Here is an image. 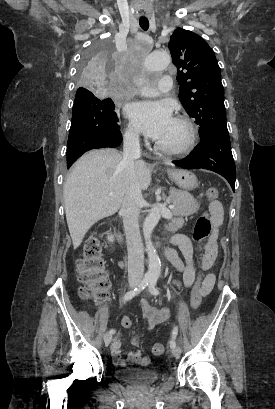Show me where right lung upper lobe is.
Returning a JSON list of instances; mask_svg holds the SVG:
<instances>
[{"mask_svg":"<svg viewBox=\"0 0 275 409\" xmlns=\"http://www.w3.org/2000/svg\"><path fill=\"white\" fill-rule=\"evenodd\" d=\"M86 91H89V90H77V92H86Z\"/></svg>","mask_w":275,"mask_h":409,"instance_id":"cb5924a9","label":"right lung upper lobe"}]
</instances>
